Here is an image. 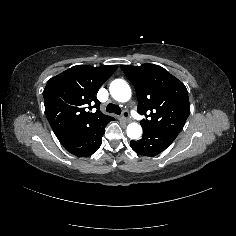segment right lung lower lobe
I'll list each match as a JSON object with an SVG mask.
<instances>
[{
    "instance_id": "right-lung-lower-lobe-1",
    "label": "right lung lower lobe",
    "mask_w": 236,
    "mask_h": 236,
    "mask_svg": "<svg viewBox=\"0 0 236 236\" xmlns=\"http://www.w3.org/2000/svg\"><path fill=\"white\" fill-rule=\"evenodd\" d=\"M112 120L114 119L102 121L97 125L82 130L61 144L68 152L75 156L88 157L101 146L105 127Z\"/></svg>"
}]
</instances>
